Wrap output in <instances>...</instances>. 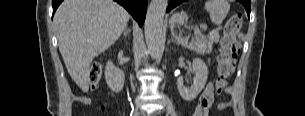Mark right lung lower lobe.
<instances>
[{
	"label": "right lung lower lobe",
	"mask_w": 305,
	"mask_h": 116,
	"mask_svg": "<svg viewBox=\"0 0 305 116\" xmlns=\"http://www.w3.org/2000/svg\"><path fill=\"white\" fill-rule=\"evenodd\" d=\"M63 0H52L53 6V14L55 13L57 7ZM120 5H122L132 16L133 18L140 24L143 25L148 0H114Z\"/></svg>",
	"instance_id": "1"
}]
</instances>
